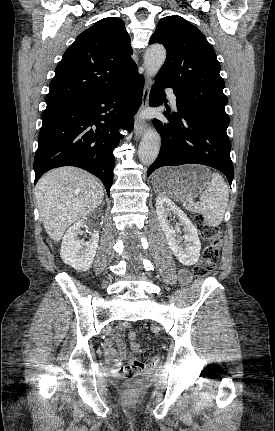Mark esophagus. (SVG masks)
<instances>
[{
	"mask_svg": "<svg viewBox=\"0 0 275 431\" xmlns=\"http://www.w3.org/2000/svg\"><path fill=\"white\" fill-rule=\"evenodd\" d=\"M151 86H152L151 79L147 77L144 90H143L141 106L139 108V111L137 113L136 120H135L134 130H135L136 140H139L141 138L146 128L144 122L141 120V113L143 112V110H145L148 107Z\"/></svg>",
	"mask_w": 275,
	"mask_h": 431,
	"instance_id": "1",
	"label": "esophagus"
}]
</instances>
